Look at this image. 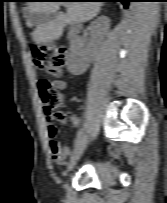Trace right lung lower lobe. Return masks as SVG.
<instances>
[{"mask_svg":"<svg viewBox=\"0 0 167 203\" xmlns=\"http://www.w3.org/2000/svg\"><path fill=\"white\" fill-rule=\"evenodd\" d=\"M98 1H104V2H122L123 5H124V8H128V4L132 0H98Z\"/></svg>","mask_w":167,"mask_h":203,"instance_id":"1","label":"right lung lower lobe"}]
</instances>
